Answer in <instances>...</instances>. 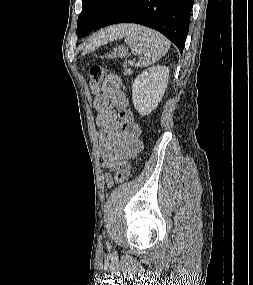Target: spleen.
Listing matches in <instances>:
<instances>
[{
  "instance_id": "3e777b00",
  "label": "spleen",
  "mask_w": 253,
  "mask_h": 285,
  "mask_svg": "<svg viewBox=\"0 0 253 285\" xmlns=\"http://www.w3.org/2000/svg\"><path fill=\"white\" fill-rule=\"evenodd\" d=\"M132 53L140 56L137 67H146L158 61L170 48V42L161 33L147 27L134 25L125 35ZM144 55V59L141 57Z\"/></svg>"
}]
</instances>
